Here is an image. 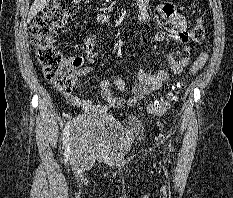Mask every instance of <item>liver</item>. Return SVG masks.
I'll return each mask as SVG.
<instances>
[{
  "label": "liver",
  "instance_id": "obj_1",
  "mask_svg": "<svg viewBox=\"0 0 233 198\" xmlns=\"http://www.w3.org/2000/svg\"><path fill=\"white\" fill-rule=\"evenodd\" d=\"M49 2L50 0H34L28 13L27 23H30L37 13H39Z\"/></svg>",
  "mask_w": 233,
  "mask_h": 198
}]
</instances>
